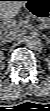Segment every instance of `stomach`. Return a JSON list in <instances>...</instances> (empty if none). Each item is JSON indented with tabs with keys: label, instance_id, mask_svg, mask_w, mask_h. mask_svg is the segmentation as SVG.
Listing matches in <instances>:
<instances>
[{
	"label": "stomach",
	"instance_id": "1",
	"mask_svg": "<svg viewBox=\"0 0 50 111\" xmlns=\"http://www.w3.org/2000/svg\"><path fill=\"white\" fill-rule=\"evenodd\" d=\"M25 8L38 21L50 20V0H26Z\"/></svg>",
	"mask_w": 50,
	"mask_h": 111
}]
</instances>
